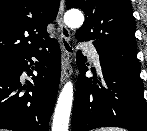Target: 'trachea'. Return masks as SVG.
I'll return each instance as SVG.
<instances>
[{
  "mask_svg": "<svg viewBox=\"0 0 147 131\" xmlns=\"http://www.w3.org/2000/svg\"><path fill=\"white\" fill-rule=\"evenodd\" d=\"M64 42V45H65V48L69 51V52H72V48L67 44L66 41H63Z\"/></svg>",
  "mask_w": 147,
  "mask_h": 131,
  "instance_id": "3493384b",
  "label": "trachea"
}]
</instances>
